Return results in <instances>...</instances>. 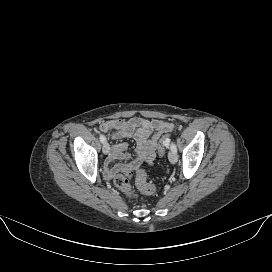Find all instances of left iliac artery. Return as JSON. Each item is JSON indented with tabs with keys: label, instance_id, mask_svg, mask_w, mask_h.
Masks as SVG:
<instances>
[{
	"label": "left iliac artery",
	"instance_id": "1",
	"mask_svg": "<svg viewBox=\"0 0 272 272\" xmlns=\"http://www.w3.org/2000/svg\"><path fill=\"white\" fill-rule=\"evenodd\" d=\"M170 148L172 152L177 153V148L173 142H171Z\"/></svg>",
	"mask_w": 272,
	"mask_h": 272
}]
</instances>
